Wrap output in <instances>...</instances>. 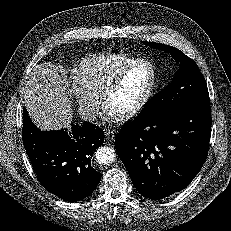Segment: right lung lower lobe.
<instances>
[{
  "label": "right lung lower lobe",
  "mask_w": 231,
  "mask_h": 231,
  "mask_svg": "<svg viewBox=\"0 0 231 231\" xmlns=\"http://www.w3.org/2000/svg\"><path fill=\"white\" fill-rule=\"evenodd\" d=\"M22 139L42 186L66 201H79L97 187L101 173L91 166L94 151L103 144L101 128L84 122L69 132L41 131L23 110Z\"/></svg>",
  "instance_id": "obj_1"
}]
</instances>
